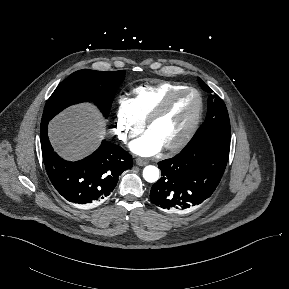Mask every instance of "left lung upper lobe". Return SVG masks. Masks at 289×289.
Instances as JSON below:
<instances>
[{"label":"left lung upper lobe","instance_id":"5c2ea615","mask_svg":"<svg viewBox=\"0 0 289 289\" xmlns=\"http://www.w3.org/2000/svg\"><path fill=\"white\" fill-rule=\"evenodd\" d=\"M198 82L203 90L208 93L213 92L200 78H198ZM230 139V121L225 103L217 94H210L205 122L184 149L203 141L230 142Z\"/></svg>","mask_w":289,"mask_h":289}]
</instances>
